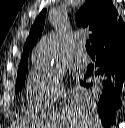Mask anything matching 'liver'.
Returning <instances> with one entry per match:
<instances>
[{
	"instance_id": "obj_1",
	"label": "liver",
	"mask_w": 125,
	"mask_h": 128,
	"mask_svg": "<svg viewBox=\"0 0 125 128\" xmlns=\"http://www.w3.org/2000/svg\"><path fill=\"white\" fill-rule=\"evenodd\" d=\"M72 104L54 113L45 122L46 127L54 128H100L98 117L95 113V92H88L78 87L72 96Z\"/></svg>"
}]
</instances>
